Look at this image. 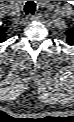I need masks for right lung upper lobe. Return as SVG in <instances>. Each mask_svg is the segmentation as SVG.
Instances as JSON below:
<instances>
[{
	"label": "right lung upper lobe",
	"instance_id": "cb5924a9",
	"mask_svg": "<svg viewBox=\"0 0 74 122\" xmlns=\"http://www.w3.org/2000/svg\"><path fill=\"white\" fill-rule=\"evenodd\" d=\"M4 34V29H0V42H3L5 40Z\"/></svg>",
	"mask_w": 74,
	"mask_h": 122
}]
</instances>
